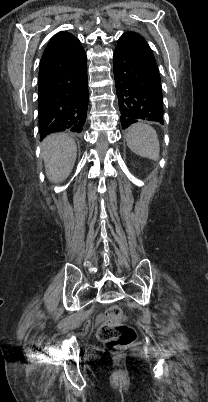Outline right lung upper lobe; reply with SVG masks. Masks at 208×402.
Here are the masks:
<instances>
[{"mask_svg": "<svg viewBox=\"0 0 208 402\" xmlns=\"http://www.w3.org/2000/svg\"><path fill=\"white\" fill-rule=\"evenodd\" d=\"M62 34H67V32H60V33L56 34L52 39H54V38H56V37H58V36H60V35H62ZM52 39H51V40H52Z\"/></svg>", "mask_w": 208, "mask_h": 402, "instance_id": "obj_1", "label": "right lung upper lobe"}]
</instances>
